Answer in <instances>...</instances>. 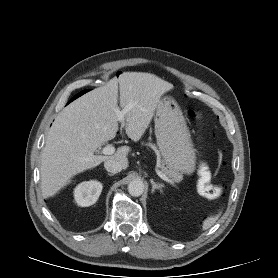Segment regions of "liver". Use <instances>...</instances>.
I'll use <instances>...</instances> for the list:
<instances>
[{
  "label": "liver",
  "mask_w": 278,
  "mask_h": 278,
  "mask_svg": "<svg viewBox=\"0 0 278 278\" xmlns=\"http://www.w3.org/2000/svg\"><path fill=\"white\" fill-rule=\"evenodd\" d=\"M173 85L143 72H124L66 106L54 120L47 138L41 166L42 193L49 198L78 173L104 161L115 160L126 169L130 147L122 146L111 156L94 152L114 139L119 130L120 106L131 105L125 114L127 136L137 142L148 128L161 96Z\"/></svg>",
  "instance_id": "6515ba94"
}]
</instances>
